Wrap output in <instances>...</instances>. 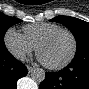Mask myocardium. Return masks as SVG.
<instances>
[{"mask_svg": "<svg viewBox=\"0 0 89 89\" xmlns=\"http://www.w3.org/2000/svg\"><path fill=\"white\" fill-rule=\"evenodd\" d=\"M67 33L71 40H72V50L70 55L68 56V58L66 60H64L63 62L59 63V64H48V63H43L45 67L52 69V70H60L65 68L66 66H68L74 59L76 52H77V40L75 35L73 34L72 31H70L69 29L66 28H58L55 29L53 31H50L49 33H47L46 35H44L39 42L36 45V53L39 56V52H40V48L43 44H45L47 41H49L54 35L58 34V33Z\"/></svg>", "mask_w": 89, "mask_h": 89, "instance_id": "myocardium-1", "label": "myocardium"}]
</instances>
